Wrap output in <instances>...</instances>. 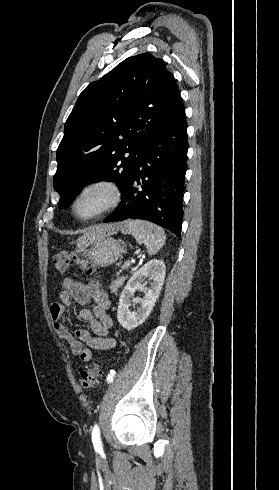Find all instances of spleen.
Listing matches in <instances>:
<instances>
[{"label": "spleen", "mask_w": 279, "mask_h": 490, "mask_svg": "<svg viewBox=\"0 0 279 490\" xmlns=\"http://www.w3.org/2000/svg\"><path fill=\"white\" fill-rule=\"evenodd\" d=\"M122 234H132L137 244H144L148 254H157L163 248L166 236L159 226L144 222V220H126L122 228Z\"/></svg>", "instance_id": "spleen-1"}]
</instances>
